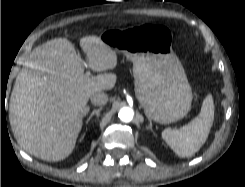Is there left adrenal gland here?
Returning <instances> with one entry per match:
<instances>
[{"label":"left adrenal gland","instance_id":"obj_1","mask_svg":"<svg viewBox=\"0 0 245 187\" xmlns=\"http://www.w3.org/2000/svg\"><path fill=\"white\" fill-rule=\"evenodd\" d=\"M148 129L149 130H151V131H153V129H152V121L149 119V126H148Z\"/></svg>","mask_w":245,"mask_h":187}]
</instances>
